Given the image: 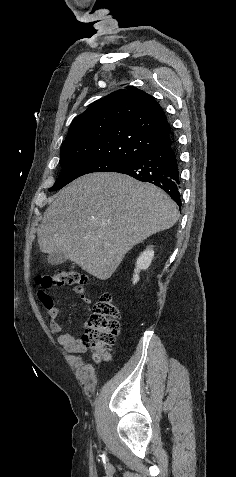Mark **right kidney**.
<instances>
[{
	"instance_id": "obj_1",
	"label": "right kidney",
	"mask_w": 236,
	"mask_h": 477,
	"mask_svg": "<svg viewBox=\"0 0 236 477\" xmlns=\"http://www.w3.org/2000/svg\"><path fill=\"white\" fill-rule=\"evenodd\" d=\"M153 257H154V251L151 250V249H147L143 253H141L139 258L137 259L136 268L134 270V272H135V274L133 276V283L134 284L139 281V275L138 274H139L140 270H146L150 266Z\"/></svg>"
}]
</instances>
